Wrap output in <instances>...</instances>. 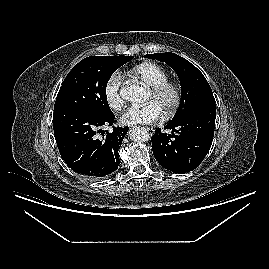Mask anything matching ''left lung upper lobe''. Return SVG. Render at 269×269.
Listing matches in <instances>:
<instances>
[{
    "mask_svg": "<svg viewBox=\"0 0 269 269\" xmlns=\"http://www.w3.org/2000/svg\"><path fill=\"white\" fill-rule=\"evenodd\" d=\"M144 57L167 63L179 77L182 90L181 101L170 122L181 120L203 106H216L209 83L204 75L189 61L171 52L147 54Z\"/></svg>",
    "mask_w": 269,
    "mask_h": 269,
    "instance_id": "1",
    "label": "left lung upper lobe"
}]
</instances>
